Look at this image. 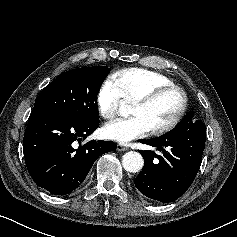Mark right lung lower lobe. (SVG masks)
Instances as JSON below:
<instances>
[{"instance_id":"1","label":"right lung lower lobe","mask_w":237,"mask_h":237,"mask_svg":"<svg viewBox=\"0 0 237 237\" xmlns=\"http://www.w3.org/2000/svg\"><path fill=\"white\" fill-rule=\"evenodd\" d=\"M99 127V121L80 122L42 109H33L23 140V152L34 182L55 195L76 189L96 159L113 151L112 141H95L76 147Z\"/></svg>"}]
</instances>
